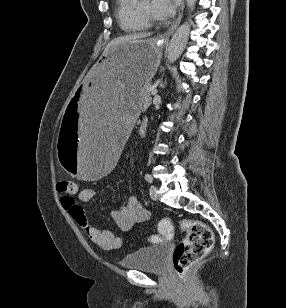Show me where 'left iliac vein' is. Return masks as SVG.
Listing matches in <instances>:
<instances>
[{"mask_svg": "<svg viewBox=\"0 0 286 308\" xmlns=\"http://www.w3.org/2000/svg\"><path fill=\"white\" fill-rule=\"evenodd\" d=\"M149 194H150V197L153 199V200H158L159 198V195H158V188L155 186V185H151L150 188H149Z\"/></svg>", "mask_w": 286, "mask_h": 308, "instance_id": "1", "label": "left iliac vein"}]
</instances>
